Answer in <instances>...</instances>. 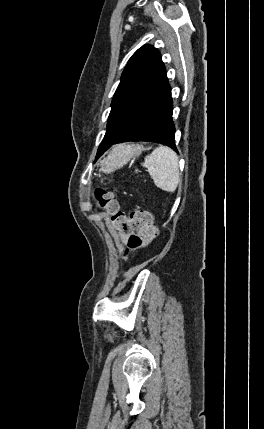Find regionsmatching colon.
Returning <instances> with one entry per match:
<instances>
[{
  "label": "colon",
  "mask_w": 264,
  "mask_h": 429,
  "mask_svg": "<svg viewBox=\"0 0 264 429\" xmlns=\"http://www.w3.org/2000/svg\"><path fill=\"white\" fill-rule=\"evenodd\" d=\"M95 198L99 205L105 208L111 217L113 226L120 231L128 233V247L125 254L147 246L156 235L152 215L145 210H135L129 214L119 210L112 192L96 189Z\"/></svg>",
  "instance_id": "obj_1"
}]
</instances>
